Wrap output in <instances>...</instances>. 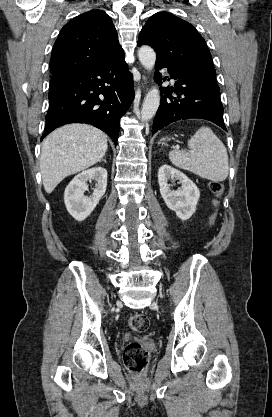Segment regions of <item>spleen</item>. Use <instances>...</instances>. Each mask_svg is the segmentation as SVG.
I'll use <instances>...</instances> for the list:
<instances>
[{"label": "spleen", "mask_w": 272, "mask_h": 417, "mask_svg": "<svg viewBox=\"0 0 272 417\" xmlns=\"http://www.w3.org/2000/svg\"><path fill=\"white\" fill-rule=\"evenodd\" d=\"M190 151L174 149L170 161L181 169L188 170L213 182L224 181L229 173L226 147L209 127H201L188 140Z\"/></svg>", "instance_id": "3e777b00"}]
</instances>
